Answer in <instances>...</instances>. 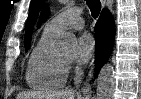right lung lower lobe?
Instances as JSON below:
<instances>
[{
  "mask_svg": "<svg viewBox=\"0 0 141 99\" xmlns=\"http://www.w3.org/2000/svg\"><path fill=\"white\" fill-rule=\"evenodd\" d=\"M96 67L97 70L108 60L114 43L115 27L112 15L103 10L96 24Z\"/></svg>",
  "mask_w": 141,
  "mask_h": 99,
  "instance_id": "right-lung-lower-lobe-1",
  "label": "right lung lower lobe"
}]
</instances>
